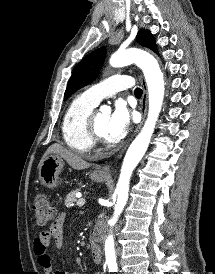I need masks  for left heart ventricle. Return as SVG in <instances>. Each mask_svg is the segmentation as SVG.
Listing matches in <instances>:
<instances>
[{"label": "left heart ventricle", "mask_w": 215, "mask_h": 274, "mask_svg": "<svg viewBox=\"0 0 215 274\" xmlns=\"http://www.w3.org/2000/svg\"><path fill=\"white\" fill-rule=\"evenodd\" d=\"M108 119H109V115L107 113L98 112L95 115L97 130L103 137H105V134H106Z\"/></svg>", "instance_id": "obj_1"}]
</instances>
